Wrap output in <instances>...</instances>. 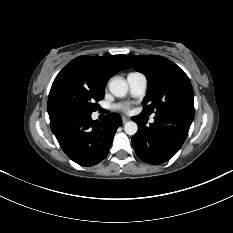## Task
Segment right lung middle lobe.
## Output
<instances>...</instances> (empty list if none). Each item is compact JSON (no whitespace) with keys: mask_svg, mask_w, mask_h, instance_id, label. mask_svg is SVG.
<instances>
[{"mask_svg":"<svg viewBox=\"0 0 233 233\" xmlns=\"http://www.w3.org/2000/svg\"><path fill=\"white\" fill-rule=\"evenodd\" d=\"M104 97V89L94 87L84 81L74 78L54 80L49 97L47 110L49 112L73 110L91 114L96 111L97 104Z\"/></svg>","mask_w":233,"mask_h":233,"instance_id":"obj_1","label":"right lung middle lobe"}]
</instances>
